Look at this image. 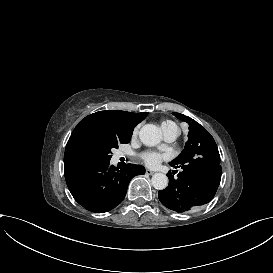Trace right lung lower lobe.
Listing matches in <instances>:
<instances>
[{
  "instance_id": "1",
  "label": "right lung lower lobe",
  "mask_w": 273,
  "mask_h": 273,
  "mask_svg": "<svg viewBox=\"0 0 273 273\" xmlns=\"http://www.w3.org/2000/svg\"><path fill=\"white\" fill-rule=\"evenodd\" d=\"M141 165L127 164L122 169L110 162L88 166L67 179V186L74 199L84 208L95 213L112 210L124 199L130 180L144 174Z\"/></svg>"
}]
</instances>
